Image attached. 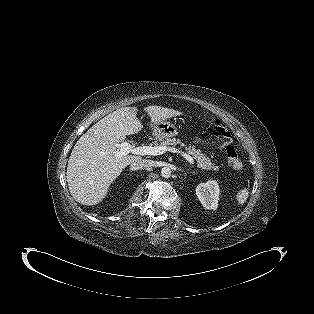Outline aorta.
I'll use <instances>...</instances> for the list:
<instances>
[{
    "mask_svg": "<svg viewBox=\"0 0 314 314\" xmlns=\"http://www.w3.org/2000/svg\"><path fill=\"white\" fill-rule=\"evenodd\" d=\"M161 176L163 178H169L171 176V169L169 167H163L161 169Z\"/></svg>",
    "mask_w": 314,
    "mask_h": 314,
    "instance_id": "aorta-1",
    "label": "aorta"
}]
</instances>
